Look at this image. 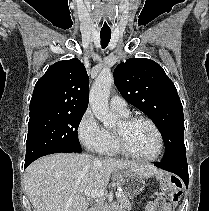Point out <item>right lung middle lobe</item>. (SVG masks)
<instances>
[{
	"mask_svg": "<svg viewBox=\"0 0 209 211\" xmlns=\"http://www.w3.org/2000/svg\"><path fill=\"white\" fill-rule=\"evenodd\" d=\"M84 112L30 115L25 164L57 151L82 152L77 129Z\"/></svg>",
	"mask_w": 209,
	"mask_h": 211,
	"instance_id": "right-lung-middle-lobe-1",
	"label": "right lung middle lobe"
}]
</instances>
